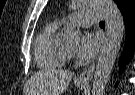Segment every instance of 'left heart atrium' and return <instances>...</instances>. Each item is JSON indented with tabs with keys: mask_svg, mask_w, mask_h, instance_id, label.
Wrapping results in <instances>:
<instances>
[{
	"mask_svg": "<svg viewBox=\"0 0 135 95\" xmlns=\"http://www.w3.org/2000/svg\"><path fill=\"white\" fill-rule=\"evenodd\" d=\"M100 45L101 37L98 34L86 32L78 45L77 55L84 61H90L97 55Z\"/></svg>",
	"mask_w": 135,
	"mask_h": 95,
	"instance_id": "1",
	"label": "left heart atrium"
}]
</instances>
